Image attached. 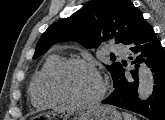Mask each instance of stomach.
Instances as JSON below:
<instances>
[{
	"mask_svg": "<svg viewBox=\"0 0 165 120\" xmlns=\"http://www.w3.org/2000/svg\"><path fill=\"white\" fill-rule=\"evenodd\" d=\"M56 117L63 120H122L121 114L112 106L109 105H83L77 108L51 111L39 114L33 119H55Z\"/></svg>",
	"mask_w": 165,
	"mask_h": 120,
	"instance_id": "1",
	"label": "stomach"
}]
</instances>
